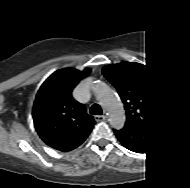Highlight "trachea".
I'll use <instances>...</instances> for the list:
<instances>
[{"label": "trachea", "mask_w": 190, "mask_h": 188, "mask_svg": "<svg viewBox=\"0 0 190 188\" xmlns=\"http://www.w3.org/2000/svg\"><path fill=\"white\" fill-rule=\"evenodd\" d=\"M90 114L93 115H102V109L100 107V105L98 104H93L90 108Z\"/></svg>", "instance_id": "obj_1"}]
</instances>
